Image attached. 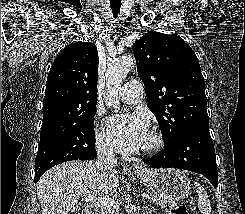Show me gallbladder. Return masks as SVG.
<instances>
[{"label": "gallbladder", "instance_id": "bac80fb5", "mask_svg": "<svg viewBox=\"0 0 245 214\" xmlns=\"http://www.w3.org/2000/svg\"><path fill=\"white\" fill-rule=\"evenodd\" d=\"M80 210V207L79 206H75L72 210H71V212L73 213V212H76V211H79Z\"/></svg>", "mask_w": 245, "mask_h": 214}]
</instances>
